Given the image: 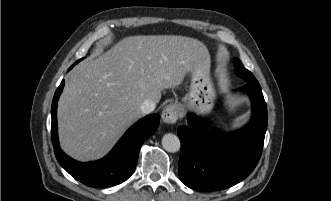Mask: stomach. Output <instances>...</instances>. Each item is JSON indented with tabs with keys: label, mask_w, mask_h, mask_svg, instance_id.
Instances as JSON below:
<instances>
[{
	"label": "stomach",
	"mask_w": 331,
	"mask_h": 201,
	"mask_svg": "<svg viewBox=\"0 0 331 201\" xmlns=\"http://www.w3.org/2000/svg\"><path fill=\"white\" fill-rule=\"evenodd\" d=\"M190 77L189 92L184 97L182 106L199 115H207L213 109L216 97L210 77V57L196 61L191 69Z\"/></svg>",
	"instance_id": "stomach-1"
}]
</instances>
